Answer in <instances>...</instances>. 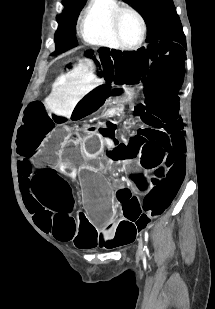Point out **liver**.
<instances>
[{
    "mask_svg": "<svg viewBox=\"0 0 215 309\" xmlns=\"http://www.w3.org/2000/svg\"><path fill=\"white\" fill-rule=\"evenodd\" d=\"M95 70L92 58L78 60V64H73V68L60 74L53 82L52 92L45 98V106L61 116H71L77 102L104 82Z\"/></svg>",
    "mask_w": 215,
    "mask_h": 309,
    "instance_id": "6515ba94",
    "label": "liver"
}]
</instances>
